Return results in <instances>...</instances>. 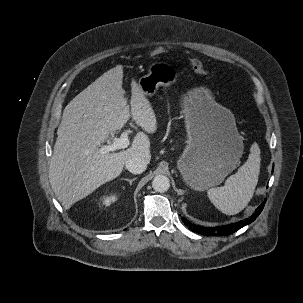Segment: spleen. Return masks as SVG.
<instances>
[{"mask_svg":"<svg viewBox=\"0 0 303 303\" xmlns=\"http://www.w3.org/2000/svg\"><path fill=\"white\" fill-rule=\"evenodd\" d=\"M260 162V148L255 142L250 148L248 160L227 178L225 185L208 190V198L217 209L224 214L234 215L248 205L258 182Z\"/></svg>","mask_w":303,"mask_h":303,"instance_id":"spleen-1","label":"spleen"}]
</instances>
